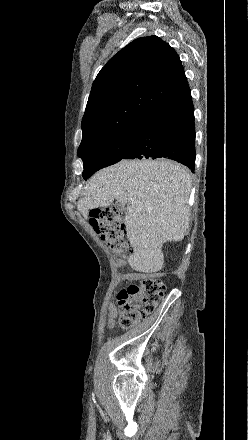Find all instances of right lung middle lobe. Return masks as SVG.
Segmentation results:
<instances>
[{"label": "right lung middle lobe", "mask_w": 248, "mask_h": 440, "mask_svg": "<svg viewBox=\"0 0 248 440\" xmlns=\"http://www.w3.org/2000/svg\"><path fill=\"white\" fill-rule=\"evenodd\" d=\"M130 144L127 128L112 132L97 142L78 149L83 160V178L86 180L96 171L122 160Z\"/></svg>", "instance_id": "1"}]
</instances>
